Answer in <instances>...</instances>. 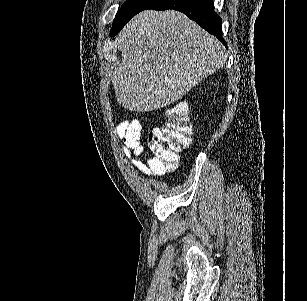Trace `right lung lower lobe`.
<instances>
[{
	"label": "right lung lower lobe",
	"instance_id": "98d812e1",
	"mask_svg": "<svg viewBox=\"0 0 307 301\" xmlns=\"http://www.w3.org/2000/svg\"><path fill=\"white\" fill-rule=\"evenodd\" d=\"M147 9L183 12L226 46L222 38V20L214 11L213 0H158Z\"/></svg>",
	"mask_w": 307,
	"mask_h": 301
}]
</instances>
